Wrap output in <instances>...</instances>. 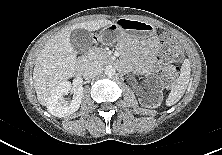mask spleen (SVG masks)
I'll use <instances>...</instances> for the list:
<instances>
[{"mask_svg": "<svg viewBox=\"0 0 222 155\" xmlns=\"http://www.w3.org/2000/svg\"><path fill=\"white\" fill-rule=\"evenodd\" d=\"M190 71V62L185 60L182 64L179 78L177 79L175 86L172 88L168 98L166 99L167 106L176 104L184 95L190 80Z\"/></svg>", "mask_w": 222, "mask_h": 155, "instance_id": "3e777b00", "label": "spleen"}]
</instances>
